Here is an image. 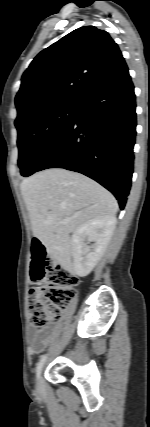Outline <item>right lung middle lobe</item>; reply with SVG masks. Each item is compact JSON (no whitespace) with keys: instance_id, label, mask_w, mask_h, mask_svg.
Wrapping results in <instances>:
<instances>
[{"instance_id":"right-lung-middle-lobe-1","label":"right lung middle lobe","mask_w":150,"mask_h":427,"mask_svg":"<svg viewBox=\"0 0 150 427\" xmlns=\"http://www.w3.org/2000/svg\"><path fill=\"white\" fill-rule=\"evenodd\" d=\"M78 106L37 108L15 121L18 130V165L22 176L33 174L72 122Z\"/></svg>"}]
</instances>
